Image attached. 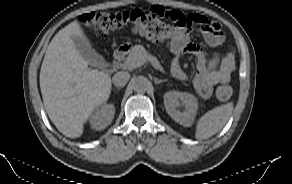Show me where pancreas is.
<instances>
[{
  "instance_id": "obj_1",
  "label": "pancreas",
  "mask_w": 292,
  "mask_h": 184,
  "mask_svg": "<svg viewBox=\"0 0 292 184\" xmlns=\"http://www.w3.org/2000/svg\"><path fill=\"white\" fill-rule=\"evenodd\" d=\"M148 55V52L142 45H135L129 52L128 57L125 62L129 63H138L140 60L145 58Z\"/></svg>"
}]
</instances>
